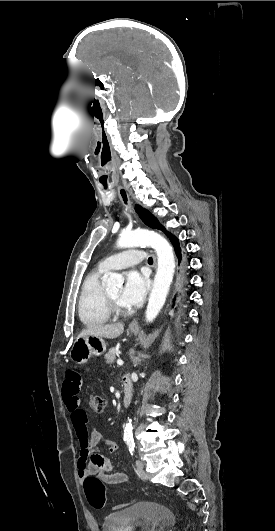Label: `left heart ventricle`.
Listing matches in <instances>:
<instances>
[{"label": "left heart ventricle", "instance_id": "left-heart-ventricle-1", "mask_svg": "<svg viewBox=\"0 0 275 531\" xmlns=\"http://www.w3.org/2000/svg\"><path fill=\"white\" fill-rule=\"evenodd\" d=\"M105 290H107L111 294V296L115 299L121 309H127V307H125L120 301L121 286H115L107 289L105 288Z\"/></svg>", "mask_w": 275, "mask_h": 531}]
</instances>
